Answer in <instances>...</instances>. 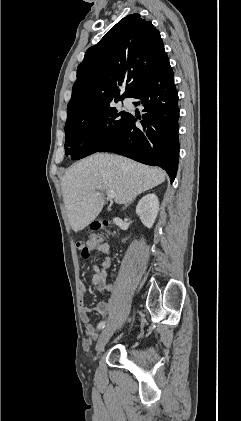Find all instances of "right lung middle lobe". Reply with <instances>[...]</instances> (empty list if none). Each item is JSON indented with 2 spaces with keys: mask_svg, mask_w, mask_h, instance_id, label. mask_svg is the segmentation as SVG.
I'll return each mask as SVG.
<instances>
[{
  "mask_svg": "<svg viewBox=\"0 0 241 421\" xmlns=\"http://www.w3.org/2000/svg\"><path fill=\"white\" fill-rule=\"evenodd\" d=\"M129 116V113L110 106L65 126L66 155L77 160L98 152L118 136Z\"/></svg>",
  "mask_w": 241,
  "mask_h": 421,
  "instance_id": "dd1d6c3e",
  "label": "right lung middle lobe"
}]
</instances>
